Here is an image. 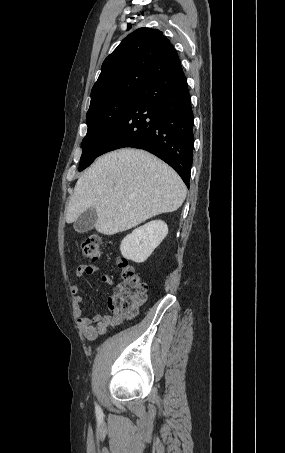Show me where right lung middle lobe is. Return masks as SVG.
<instances>
[{"label": "right lung middle lobe", "instance_id": "obj_1", "mask_svg": "<svg viewBox=\"0 0 285 453\" xmlns=\"http://www.w3.org/2000/svg\"><path fill=\"white\" fill-rule=\"evenodd\" d=\"M140 91L119 95L88 110V131L82 141L79 171L88 167L98 156L123 117L139 97Z\"/></svg>", "mask_w": 285, "mask_h": 453}]
</instances>
